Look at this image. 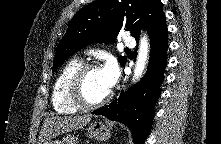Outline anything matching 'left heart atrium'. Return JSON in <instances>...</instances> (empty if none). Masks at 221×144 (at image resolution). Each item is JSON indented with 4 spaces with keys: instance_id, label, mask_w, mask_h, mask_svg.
Returning a JSON list of instances; mask_svg holds the SVG:
<instances>
[{
    "instance_id": "39dd6f15",
    "label": "left heart atrium",
    "mask_w": 221,
    "mask_h": 144,
    "mask_svg": "<svg viewBox=\"0 0 221 144\" xmlns=\"http://www.w3.org/2000/svg\"><path fill=\"white\" fill-rule=\"evenodd\" d=\"M101 73L107 88L110 90L117 82L119 71L118 66L113 59H108L101 68Z\"/></svg>"
}]
</instances>
